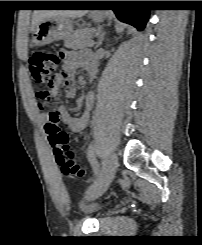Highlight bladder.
Wrapping results in <instances>:
<instances>
[{"instance_id":"obj_1","label":"bladder","mask_w":202,"mask_h":245,"mask_svg":"<svg viewBox=\"0 0 202 245\" xmlns=\"http://www.w3.org/2000/svg\"><path fill=\"white\" fill-rule=\"evenodd\" d=\"M78 208L83 214L92 215L96 218H100L105 212L104 204L97 203L86 197H83L78 201Z\"/></svg>"}]
</instances>
